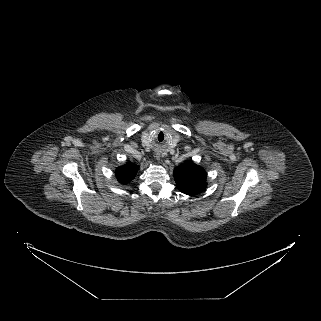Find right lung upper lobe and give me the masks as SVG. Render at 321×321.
Wrapping results in <instances>:
<instances>
[{
  "label": "right lung upper lobe",
  "instance_id": "obj_1",
  "mask_svg": "<svg viewBox=\"0 0 321 321\" xmlns=\"http://www.w3.org/2000/svg\"><path fill=\"white\" fill-rule=\"evenodd\" d=\"M137 170V165L128 163L122 167L117 168L116 177L120 183L126 184L134 178Z\"/></svg>",
  "mask_w": 321,
  "mask_h": 321
}]
</instances>
